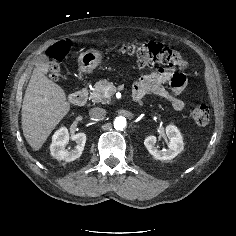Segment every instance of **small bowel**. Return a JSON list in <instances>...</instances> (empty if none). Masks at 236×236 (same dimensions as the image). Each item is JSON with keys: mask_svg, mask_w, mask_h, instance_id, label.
Segmentation results:
<instances>
[{"mask_svg": "<svg viewBox=\"0 0 236 236\" xmlns=\"http://www.w3.org/2000/svg\"><path fill=\"white\" fill-rule=\"evenodd\" d=\"M187 77L173 68H160L149 75L141 77L134 85L133 92L138 98L146 94H154L169 101L175 110H182L184 102L176 95L180 94L186 87ZM170 85L172 92L165 89Z\"/></svg>", "mask_w": 236, "mask_h": 236, "instance_id": "1", "label": "small bowel"}]
</instances>
